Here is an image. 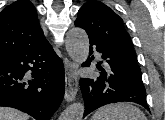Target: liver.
Listing matches in <instances>:
<instances>
[{
	"instance_id": "liver-1",
	"label": "liver",
	"mask_w": 165,
	"mask_h": 120,
	"mask_svg": "<svg viewBox=\"0 0 165 120\" xmlns=\"http://www.w3.org/2000/svg\"><path fill=\"white\" fill-rule=\"evenodd\" d=\"M29 116L9 107H0V120H28Z\"/></svg>"
}]
</instances>
